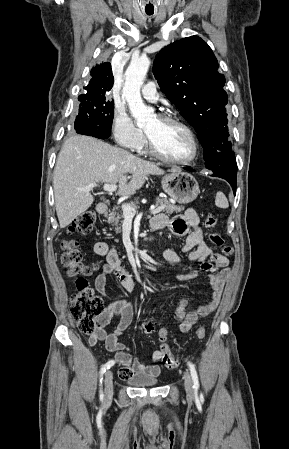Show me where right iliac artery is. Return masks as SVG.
<instances>
[{
	"label": "right iliac artery",
	"mask_w": 289,
	"mask_h": 449,
	"mask_svg": "<svg viewBox=\"0 0 289 449\" xmlns=\"http://www.w3.org/2000/svg\"><path fill=\"white\" fill-rule=\"evenodd\" d=\"M115 364V362L113 360L108 361L107 363H105L100 371V395L102 396V380H103V374L106 372V370H108L111 366H113Z\"/></svg>",
	"instance_id": "obj_1"
}]
</instances>
